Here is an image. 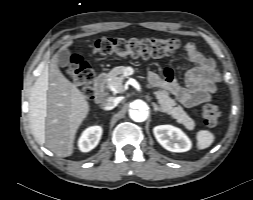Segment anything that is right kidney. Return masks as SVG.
<instances>
[{
  "instance_id": "obj_1",
  "label": "right kidney",
  "mask_w": 253,
  "mask_h": 200,
  "mask_svg": "<svg viewBox=\"0 0 253 200\" xmlns=\"http://www.w3.org/2000/svg\"><path fill=\"white\" fill-rule=\"evenodd\" d=\"M102 136V128L100 126H91L83 131L78 140V147L82 152H89L94 149Z\"/></svg>"
}]
</instances>
